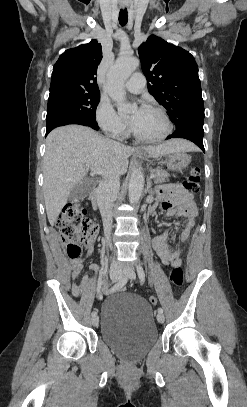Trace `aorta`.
<instances>
[{
	"instance_id": "obj_1",
	"label": "aorta",
	"mask_w": 247,
	"mask_h": 407,
	"mask_svg": "<svg viewBox=\"0 0 247 407\" xmlns=\"http://www.w3.org/2000/svg\"><path fill=\"white\" fill-rule=\"evenodd\" d=\"M139 66L136 57L120 56L110 67L107 74L105 92L115 101L119 113H129L132 106L125 101L124 83ZM144 187V176L140 169L135 168L130 173L129 201L135 204L139 201Z\"/></svg>"
}]
</instances>
